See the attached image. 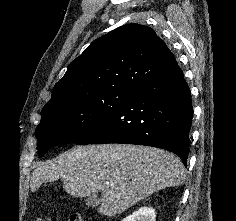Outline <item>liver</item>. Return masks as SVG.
Segmentation results:
<instances>
[{
	"instance_id": "obj_1",
	"label": "liver",
	"mask_w": 236,
	"mask_h": 221,
	"mask_svg": "<svg viewBox=\"0 0 236 221\" xmlns=\"http://www.w3.org/2000/svg\"><path fill=\"white\" fill-rule=\"evenodd\" d=\"M186 177L181 160L160 148L130 144L78 146L37 167L30 187L63 181L74 197L101 192L98 212L116 216L166 187L179 186Z\"/></svg>"
}]
</instances>
